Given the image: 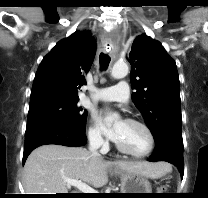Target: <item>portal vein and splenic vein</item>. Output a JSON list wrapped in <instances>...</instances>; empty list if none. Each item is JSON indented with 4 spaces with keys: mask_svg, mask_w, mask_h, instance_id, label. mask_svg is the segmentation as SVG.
<instances>
[{
    "mask_svg": "<svg viewBox=\"0 0 208 198\" xmlns=\"http://www.w3.org/2000/svg\"><path fill=\"white\" fill-rule=\"evenodd\" d=\"M64 181L67 183V186L77 187L82 193H98V191L80 180L66 178Z\"/></svg>",
    "mask_w": 208,
    "mask_h": 198,
    "instance_id": "18ae733b",
    "label": "portal vein and splenic vein"
}]
</instances>
